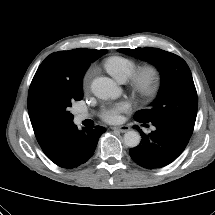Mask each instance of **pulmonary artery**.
I'll return each mask as SVG.
<instances>
[{
    "label": "pulmonary artery",
    "instance_id": "e3ab8cb5",
    "mask_svg": "<svg viewBox=\"0 0 215 215\" xmlns=\"http://www.w3.org/2000/svg\"><path fill=\"white\" fill-rule=\"evenodd\" d=\"M88 118V115L86 114H78L76 117H75V121L77 123H80L82 122L83 120L87 119Z\"/></svg>",
    "mask_w": 215,
    "mask_h": 215
}]
</instances>
